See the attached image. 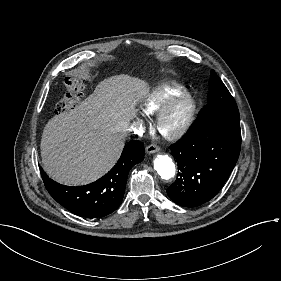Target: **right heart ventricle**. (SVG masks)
Listing matches in <instances>:
<instances>
[{
  "label": "right heart ventricle",
  "instance_id": "1",
  "mask_svg": "<svg viewBox=\"0 0 281 281\" xmlns=\"http://www.w3.org/2000/svg\"><path fill=\"white\" fill-rule=\"evenodd\" d=\"M184 91V86L179 83L172 82L163 84L153 91L139 97L136 100V105L143 113L153 115L170 99Z\"/></svg>",
  "mask_w": 281,
  "mask_h": 281
}]
</instances>
